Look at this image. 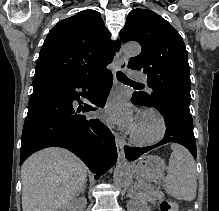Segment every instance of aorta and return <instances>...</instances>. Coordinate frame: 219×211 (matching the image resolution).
<instances>
[{
  "mask_svg": "<svg viewBox=\"0 0 219 211\" xmlns=\"http://www.w3.org/2000/svg\"><path fill=\"white\" fill-rule=\"evenodd\" d=\"M140 46L137 43H128L123 47V54L125 57H135L140 53ZM132 179L131 170L126 161L118 163L113 173L114 184L118 188L126 187L130 184Z\"/></svg>",
  "mask_w": 219,
  "mask_h": 211,
  "instance_id": "aorta-1",
  "label": "aorta"
}]
</instances>
